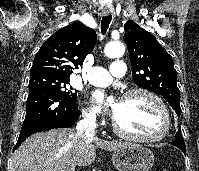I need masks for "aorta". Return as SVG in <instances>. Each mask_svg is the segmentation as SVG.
<instances>
[{
  "instance_id": "obj_1",
  "label": "aorta",
  "mask_w": 199,
  "mask_h": 171,
  "mask_svg": "<svg viewBox=\"0 0 199 171\" xmlns=\"http://www.w3.org/2000/svg\"><path fill=\"white\" fill-rule=\"evenodd\" d=\"M125 47L121 42H110L106 45L104 53L109 58H116L123 55Z\"/></svg>"
}]
</instances>
